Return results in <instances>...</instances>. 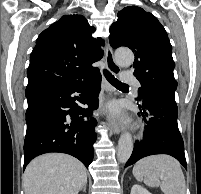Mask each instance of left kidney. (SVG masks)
I'll use <instances>...</instances> for the list:
<instances>
[{"label": "left kidney", "instance_id": "1", "mask_svg": "<svg viewBox=\"0 0 201 194\" xmlns=\"http://www.w3.org/2000/svg\"><path fill=\"white\" fill-rule=\"evenodd\" d=\"M130 194H152L147 189L142 187L141 185H134L131 189Z\"/></svg>", "mask_w": 201, "mask_h": 194}]
</instances>
